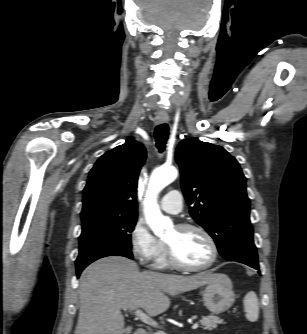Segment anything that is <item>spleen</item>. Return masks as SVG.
<instances>
[{"mask_svg": "<svg viewBox=\"0 0 307 334\" xmlns=\"http://www.w3.org/2000/svg\"><path fill=\"white\" fill-rule=\"evenodd\" d=\"M244 308L246 312V318L255 322L259 317V301L254 291L248 292L244 297Z\"/></svg>", "mask_w": 307, "mask_h": 334, "instance_id": "obj_1", "label": "spleen"}]
</instances>
